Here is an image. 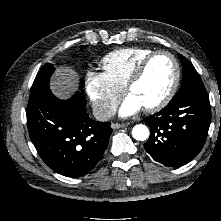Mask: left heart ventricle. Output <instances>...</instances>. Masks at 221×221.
Returning <instances> with one entry per match:
<instances>
[{
	"label": "left heart ventricle",
	"mask_w": 221,
	"mask_h": 221,
	"mask_svg": "<svg viewBox=\"0 0 221 221\" xmlns=\"http://www.w3.org/2000/svg\"><path fill=\"white\" fill-rule=\"evenodd\" d=\"M174 64L167 55L156 56L148 65L142 79L133 86L130 94L143 107L158 102L169 90L174 78Z\"/></svg>",
	"instance_id": "left-heart-ventricle-1"
}]
</instances>
